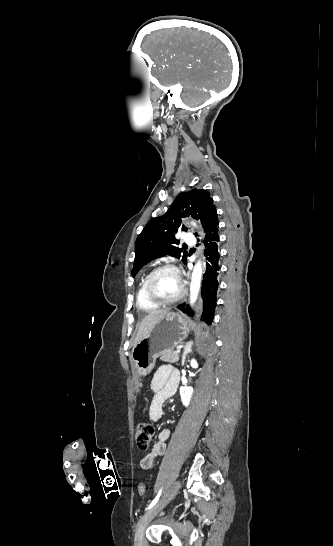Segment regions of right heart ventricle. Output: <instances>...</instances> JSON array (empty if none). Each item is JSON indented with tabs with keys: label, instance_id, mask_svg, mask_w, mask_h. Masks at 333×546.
Segmentation results:
<instances>
[{
	"label": "right heart ventricle",
	"instance_id": "right-heart-ventricle-1",
	"mask_svg": "<svg viewBox=\"0 0 333 546\" xmlns=\"http://www.w3.org/2000/svg\"><path fill=\"white\" fill-rule=\"evenodd\" d=\"M146 279H147V276H145L141 280V283L139 285V288H138L137 294H136V301H137L138 308H140L141 310H143L145 312H152V311H155L156 309H158L159 305L154 304L153 302H151L147 298L146 293H145Z\"/></svg>",
	"mask_w": 333,
	"mask_h": 546
}]
</instances>
